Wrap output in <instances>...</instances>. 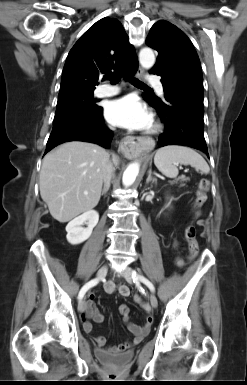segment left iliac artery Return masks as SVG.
<instances>
[{"instance_id":"obj_1","label":"left iliac artery","mask_w":247,"mask_h":385,"mask_svg":"<svg viewBox=\"0 0 247 385\" xmlns=\"http://www.w3.org/2000/svg\"><path fill=\"white\" fill-rule=\"evenodd\" d=\"M133 280H140L142 283H144L152 292L155 291L154 285L144 276L136 275V273L133 274Z\"/></svg>"}]
</instances>
